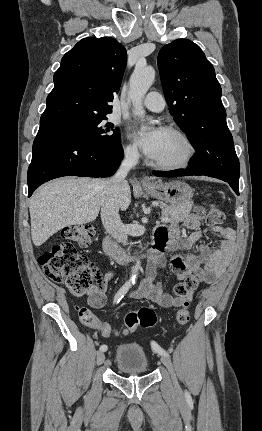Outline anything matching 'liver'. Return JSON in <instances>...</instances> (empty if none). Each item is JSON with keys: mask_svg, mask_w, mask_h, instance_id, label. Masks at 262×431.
<instances>
[{"mask_svg": "<svg viewBox=\"0 0 262 431\" xmlns=\"http://www.w3.org/2000/svg\"><path fill=\"white\" fill-rule=\"evenodd\" d=\"M105 182L102 179L67 177L39 188L29 202L34 245H42L66 226L95 220L105 196ZM130 203L131 191L127 183L119 196V208L124 211Z\"/></svg>", "mask_w": 262, "mask_h": 431, "instance_id": "obj_1", "label": "liver"}]
</instances>
